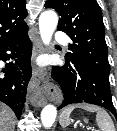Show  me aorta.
<instances>
[{
    "instance_id": "aorta-1",
    "label": "aorta",
    "mask_w": 117,
    "mask_h": 131,
    "mask_svg": "<svg viewBox=\"0 0 117 131\" xmlns=\"http://www.w3.org/2000/svg\"><path fill=\"white\" fill-rule=\"evenodd\" d=\"M58 24V16L52 11H44L39 17V31L45 45H49L52 35ZM57 116V109L54 105H46L41 112V121L45 128L52 127Z\"/></svg>"
}]
</instances>
